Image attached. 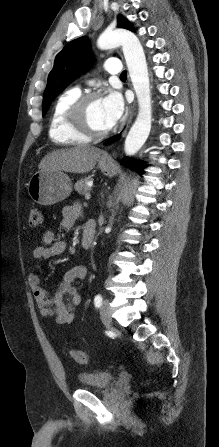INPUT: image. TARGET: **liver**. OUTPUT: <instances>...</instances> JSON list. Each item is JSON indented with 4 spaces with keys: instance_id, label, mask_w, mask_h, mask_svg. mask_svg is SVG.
Returning <instances> with one entry per match:
<instances>
[{
    "instance_id": "1",
    "label": "liver",
    "mask_w": 219,
    "mask_h": 447,
    "mask_svg": "<svg viewBox=\"0 0 219 447\" xmlns=\"http://www.w3.org/2000/svg\"><path fill=\"white\" fill-rule=\"evenodd\" d=\"M102 153L99 148L89 146L58 149L48 153L41 160L39 169L87 173L95 167L96 161Z\"/></svg>"
}]
</instances>
